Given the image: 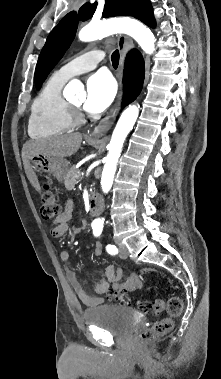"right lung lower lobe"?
Instances as JSON below:
<instances>
[{
    "mask_svg": "<svg viewBox=\"0 0 221 379\" xmlns=\"http://www.w3.org/2000/svg\"><path fill=\"white\" fill-rule=\"evenodd\" d=\"M145 67L141 54L133 49L126 58L124 70L123 105L131 103L139 95L144 81Z\"/></svg>",
    "mask_w": 221,
    "mask_h": 379,
    "instance_id": "1",
    "label": "right lung lower lobe"
}]
</instances>
